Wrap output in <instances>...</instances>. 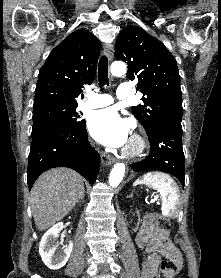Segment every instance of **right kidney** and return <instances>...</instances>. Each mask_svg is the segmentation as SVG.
<instances>
[{
    "label": "right kidney",
    "instance_id": "1",
    "mask_svg": "<svg viewBox=\"0 0 221 278\" xmlns=\"http://www.w3.org/2000/svg\"><path fill=\"white\" fill-rule=\"evenodd\" d=\"M63 227V223H57L54 225L43 235L39 244V253L42 261L51 270L62 268L68 261L72 252V242L63 246L60 251L58 250L59 245L57 238Z\"/></svg>",
    "mask_w": 221,
    "mask_h": 278
}]
</instances>
